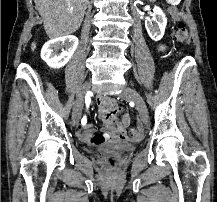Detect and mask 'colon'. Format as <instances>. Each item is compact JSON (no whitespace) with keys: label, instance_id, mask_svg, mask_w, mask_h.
<instances>
[{"label":"colon","instance_id":"obj_1","mask_svg":"<svg viewBox=\"0 0 217 202\" xmlns=\"http://www.w3.org/2000/svg\"><path fill=\"white\" fill-rule=\"evenodd\" d=\"M174 38L180 44H185L189 42V34L187 32L186 25L183 21L177 19L176 26L174 30ZM35 46V43H33ZM131 132H138V127H131ZM117 163V158L113 155L107 158V164L110 167H114Z\"/></svg>","mask_w":217,"mask_h":202}]
</instances>
